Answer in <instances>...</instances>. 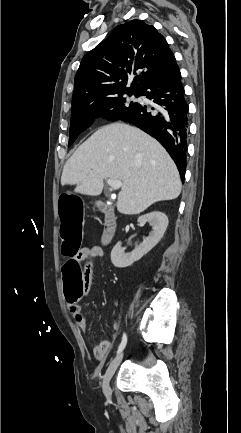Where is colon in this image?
Instances as JSON below:
<instances>
[{
    "label": "colon",
    "mask_w": 241,
    "mask_h": 433,
    "mask_svg": "<svg viewBox=\"0 0 241 433\" xmlns=\"http://www.w3.org/2000/svg\"><path fill=\"white\" fill-rule=\"evenodd\" d=\"M78 192H60L58 214L60 225V247L62 257H77L78 247L84 238L86 223L82 214H87V205L79 201ZM97 213L102 211L100 206L95 208ZM60 288L63 290L66 305H79L84 289L82 272L75 258H65L62 266Z\"/></svg>",
    "instance_id": "1"
}]
</instances>
